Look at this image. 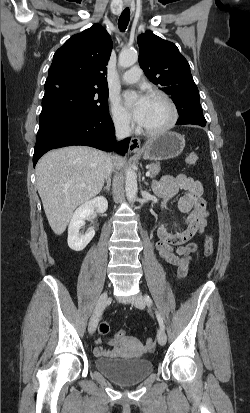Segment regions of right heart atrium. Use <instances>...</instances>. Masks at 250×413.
<instances>
[{
	"label": "right heart atrium",
	"instance_id": "obj_1",
	"mask_svg": "<svg viewBox=\"0 0 250 413\" xmlns=\"http://www.w3.org/2000/svg\"><path fill=\"white\" fill-rule=\"evenodd\" d=\"M110 113L115 127L122 132H129L133 122L128 112L121 106L116 98L110 99Z\"/></svg>",
	"mask_w": 250,
	"mask_h": 413
}]
</instances>
